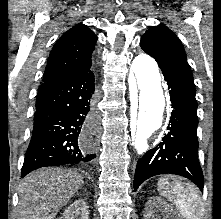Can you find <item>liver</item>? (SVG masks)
Instances as JSON below:
<instances>
[{
    "label": "liver",
    "mask_w": 221,
    "mask_h": 219,
    "mask_svg": "<svg viewBox=\"0 0 221 219\" xmlns=\"http://www.w3.org/2000/svg\"><path fill=\"white\" fill-rule=\"evenodd\" d=\"M83 183V176L72 170L45 168L30 173L19 188L18 219H54Z\"/></svg>",
    "instance_id": "liver-1"
}]
</instances>
